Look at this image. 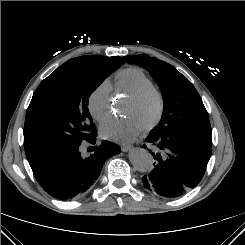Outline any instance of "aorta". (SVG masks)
Wrapping results in <instances>:
<instances>
[{
    "label": "aorta",
    "mask_w": 245,
    "mask_h": 245,
    "mask_svg": "<svg viewBox=\"0 0 245 245\" xmlns=\"http://www.w3.org/2000/svg\"><path fill=\"white\" fill-rule=\"evenodd\" d=\"M128 157L133 167L140 172H146L153 166L152 155L144 148L130 149Z\"/></svg>",
    "instance_id": "aorta-1"
}]
</instances>
